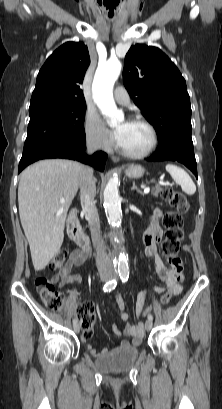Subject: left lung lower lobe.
Here are the masks:
<instances>
[{
	"label": "left lung lower lobe",
	"mask_w": 222,
	"mask_h": 409,
	"mask_svg": "<svg viewBox=\"0 0 222 409\" xmlns=\"http://www.w3.org/2000/svg\"><path fill=\"white\" fill-rule=\"evenodd\" d=\"M148 161H178L186 165L197 177V164L191 137L170 136L160 142Z\"/></svg>",
	"instance_id": "obj_1"
}]
</instances>
